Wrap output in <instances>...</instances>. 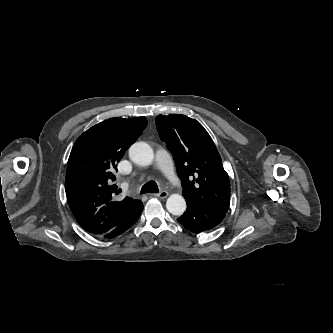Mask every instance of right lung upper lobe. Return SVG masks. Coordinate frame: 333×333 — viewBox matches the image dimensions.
<instances>
[{"mask_svg": "<svg viewBox=\"0 0 333 333\" xmlns=\"http://www.w3.org/2000/svg\"><path fill=\"white\" fill-rule=\"evenodd\" d=\"M146 126L145 117L110 118L84 132L72 148L65 177L67 202L79 225L97 237L142 206L140 200L128 197L114 200L119 192L112 170Z\"/></svg>", "mask_w": 333, "mask_h": 333, "instance_id": "1", "label": "right lung upper lobe"}]
</instances>
